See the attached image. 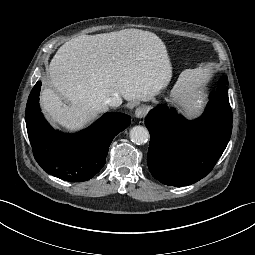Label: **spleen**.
Here are the masks:
<instances>
[{"label":"spleen","mask_w":255,"mask_h":255,"mask_svg":"<svg viewBox=\"0 0 255 255\" xmlns=\"http://www.w3.org/2000/svg\"><path fill=\"white\" fill-rule=\"evenodd\" d=\"M211 77L209 68H196L183 71L175 84L173 102L188 117L200 114L204 106V87Z\"/></svg>","instance_id":"obj_1"}]
</instances>
